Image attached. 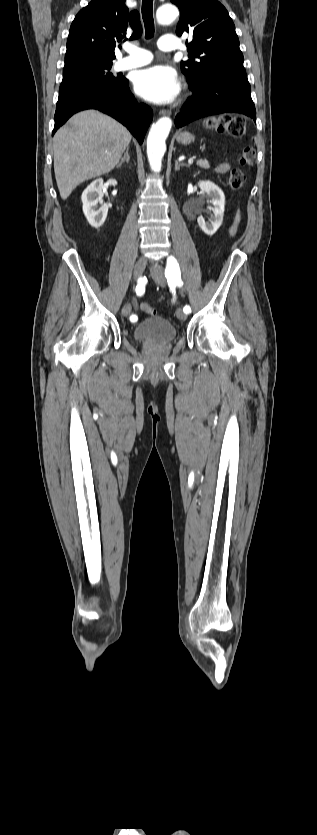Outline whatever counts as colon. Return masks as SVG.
Returning <instances> with one entry per match:
<instances>
[{"label":"colon","mask_w":317,"mask_h":835,"mask_svg":"<svg viewBox=\"0 0 317 835\" xmlns=\"http://www.w3.org/2000/svg\"><path fill=\"white\" fill-rule=\"evenodd\" d=\"M205 126L212 132L222 134L225 133L234 138H241L245 134V121L242 117H231L228 115L220 117H212L205 121ZM256 153L254 148L245 147L240 156L241 166H252L254 164ZM245 181L244 172L240 168H234L229 177V184L233 189L240 188ZM140 309L149 314L155 315V309L148 303H142Z\"/></svg>","instance_id":"colon-1"}]
</instances>
